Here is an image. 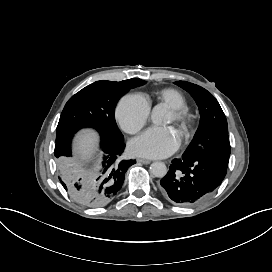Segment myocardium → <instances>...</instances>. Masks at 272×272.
<instances>
[{
  "label": "myocardium",
  "mask_w": 272,
  "mask_h": 272,
  "mask_svg": "<svg viewBox=\"0 0 272 272\" xmlns=\"http://www.w3.org/2000/svg\"><path fill=\"white\" fill-rule=\"evenodd\" d=\"M171 113L174 115V123L183 130H187L189 124V114L187 110L184 107H171Z\"/></svg>",
  "instance_id": "f54148a6"
}]
</instances>
